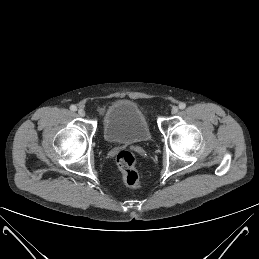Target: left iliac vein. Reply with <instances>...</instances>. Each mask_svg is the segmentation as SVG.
I'll return each instance as SVG.
<instances>
[{"label":"left iliac vein","instance_id":"obj_1","mask_svg":"<svg viewBox=\"0 0 259 259\" xmlns=\"http://www.w3.org/2000/svg\"><path fill=\"white\" fill-rule=\"evenodd\" d=\"M171 113H172V114H177V113H178V107L174 106V107L171 109Z\"/></svg>","mask_w":259,"mask_h":259}]
</instances>
